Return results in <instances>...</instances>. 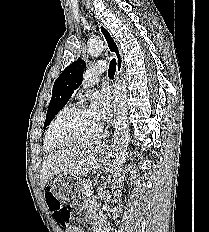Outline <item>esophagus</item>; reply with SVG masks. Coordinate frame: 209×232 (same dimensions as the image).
<instances>
[{"instance_id":"esophagus-1","label":"esophagus","mask_w":209,"mask_h":232,"mask_svg":"<svg viewBox=\"0 0 209 232\" xmlns=\"http://www.w3.org/2000/svg\"><path fill=\"white\" fill-rule=\"evenodd\" d=\"M98 27H99V31L102 37L105 40V43H106V46L109 52L116 59V62H117L116 78L118 79L119 75L122 72V67H123V56L119 48L118 42L116 41V39L113 37V35L111 34V32L108 30V28L105 25H103L102 23H99ZM109 137H110V133H108L107 135L106 145L110 142Z\"/></svg>"}]
</instances>
